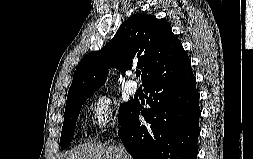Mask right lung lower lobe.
<instances>
[{
    "mask_svg": "<svg viewBox=\"0 0 253 159\" xmlns=\"http://www.w3.org/2000/svg\"><path fill=\"white\" fill-rule=\"evenodd\" d=\"M195 80L190 64L144 86L150 108L133 102L119 128L134 159H196L201 111ZM140 114L147 123L139 121Z\"/></svg>",
    "mask_w": 253,
    "mask_h": 159,
    "instance_id": "1",
    "label": "right lung lower lobe"
}]
</instances>
